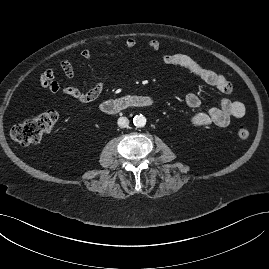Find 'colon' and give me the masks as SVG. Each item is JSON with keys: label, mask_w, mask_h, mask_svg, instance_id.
Listing matches in <instances>:
<instances>
[{"label": "colon", "mask_w": 269, "mask_h": 269, "mask_svg": "<svg viewBox=\"0 0 269 269\" xmlns=\"http://www.w3.org/2000/svg\"><path fill=\"white\" fill-rule=\"evenodd\" d=\"M57 121V112L48 110L35 118L15 125L11 130V136L21 146L28 147L39 142L43 136L51 133ZM249 135V130L244 127L239 128L237 131V137L240 140L248 139Z\"/></svg>", "instance_id": "1"}]
</instances>
